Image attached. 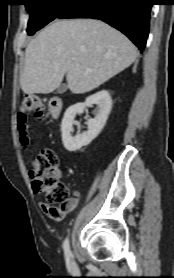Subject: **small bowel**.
<instances>
[{
	"label": "small bowel",
	"mask_w": 174,
	"mask_h": 278,
	"mask_svg": "<svg viewBox=\"0 0 174 278\" xmlns=\"http://www.w3.org/2000/svg\"><path fill=\"white\" fill-rule=\"evenodd\" d=\"M80 201V194L75 192V196L69 198L64 204L59 207L52 206L46 202H41L40 207L43 212L53 220L60 221L65 218L69 213L74 211Z\"/></svg>",
	"instance_id": "c3829d8e"
}]
</instances>
